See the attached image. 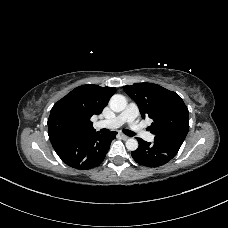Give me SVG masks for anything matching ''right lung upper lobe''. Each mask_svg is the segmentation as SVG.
Wrapping results in <instances>:
<instances>
[{
    "mask_svg": "<svg viewBox=\"0 0 228 228\" xmlns=\"http://www.w3.org/2000/svg\"><path fill=\"white\" fill-rule=\"evenodd\" d=\"M114 92V87L82 85L56 102L48 119L51 143L96 133L90 118L102 112Z\"/></svg>",
    "mask_w": 228,
    "mask_h": 228,
    "instance_id": "cb5924a9",
    "label": "right lung upper lobe"
}]
</instances>
